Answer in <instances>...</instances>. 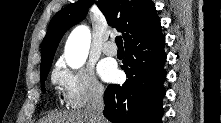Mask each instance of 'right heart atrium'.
Returning a JSON list of instances; mask_svg holds the SVG:
<instances>
[{
  "instance_id": "obj_1",
  "label": "right heart atrium",
  "mask_w": 221,
  "mask_h": 123,
  "mask_svg": "<svg viewBox=\"0 0 221 123\" xmlns=\"http://www.w3.org/2000/svg\"><path fill=\"white\" fill-rule=\"evenodd\" d=\"M52 80L60 88L66 105L72 109L98 102L104 95V87L89 66L70 68L62 62L58 63Z\"/></svg>"
}]
</instances>
